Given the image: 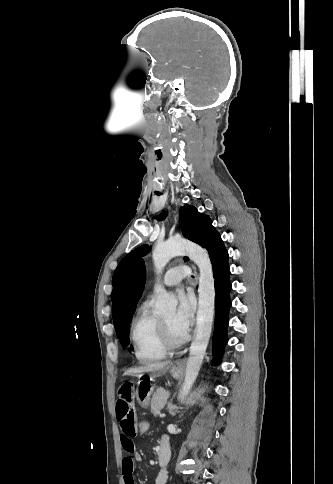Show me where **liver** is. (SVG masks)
I'll return each instance as SVG.
<instances>
[{
	"label": "liver",
	"mask_w": 333,
	"mask_h": 484,
	"mask_svg": "<svg viewBox=\"0 0 333 484\" xmlns=\"http://www.w3.org/2000/svg\"><path fill=\"white\" fill-rule=\"evenodd\" d=\"M172 364L171 361L164 362H154L147 364L146 366H141L138 368L131 369L125 373V375H133L140 373H164L168 370L169 366Z\"/></svg>",
	"instance_id": "obj_1"
}]
</instances>
